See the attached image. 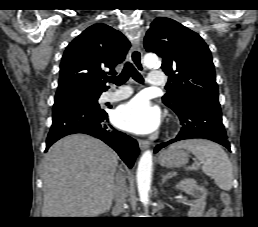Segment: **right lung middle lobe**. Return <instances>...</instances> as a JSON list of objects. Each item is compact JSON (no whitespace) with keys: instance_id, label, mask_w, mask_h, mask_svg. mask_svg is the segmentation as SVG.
I'll list each match as a JSON object with an SVG mask.
<instances>
[{"instance_id":"right-lung-middle-lobe-1","label":"right lung middle lobe","mask_w":258,"mask_h":227,"mask_svg":"<svg viewBox=\"0 0 258 227\" xmlns=\"http://www.w3.org/2000/svg\"><path fill=\"white\" fill-rule=\"evenodd\" d=\"M100 94L101 92L88 90V89H81V88L68 89V90L56 92L54 105H57L65 101L76 100L85 104L86 106H89L91 109L100 110V107L97 101Z\"/></svg>"}]
</instances>
